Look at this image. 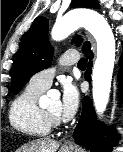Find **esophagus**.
Masks as SVG:
<instances>
[{"instance_id": "esophagus-1", "label": "esophagus", "mask_w": 123, "mask_h": 152, "mask_svg": "<svg viewBox=\"0 0 123 152\" xmlns=\"http://www.w3.org/2000/svg\"><path fill=\"white\" fill-rule=\"evenodd\" d=\"M85 37H86V40L91 43V49H92V51L95 55L96 54V43H95L94 39L87 32H85ZM65 145L70 146V145H72V143L71 142H66Z\"/></svg>"}]
</instances>
